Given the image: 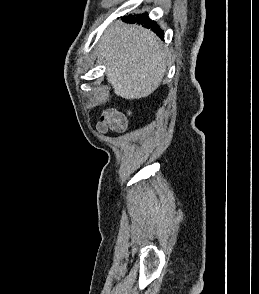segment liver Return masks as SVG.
<instances>
[{
  "label": "liver",
  "mask_w": 259,
  "mask_h": 294,
  "mask_svg": "<svg viewBox=\"0 0 259 294\" xmlns=\"http://www.w3.org/2000/svg\"><path fill=\"white\" fill-rule=\"evenodd\" d=\"M98 59L117 96L128 100L149 96L160 85L168 63L159 38L134 24L109 26L98 43Z\"/></svg>",
  "instance_id": "6515ba94"
}]
</instances>
